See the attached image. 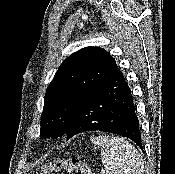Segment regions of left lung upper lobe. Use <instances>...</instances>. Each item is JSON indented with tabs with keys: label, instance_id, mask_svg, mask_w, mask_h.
Segmentation results:
<instances>
[{
	"label": "left lung upper lobe",
	"instance_id": "obj_1",
	"mask_svg": "<svg viewBox=\"0 0 175 174\" xmlns=\"http://www.w3.org/2000/svg\"><path fill=\"white\" fill-rule=\"evenodd\" d=\"M116 68L114 58L99 47L83 48L65 59L46 90L40 136H63L82 97Z\"/></svg>",
	"mask_w": 175,
	"mask_h": 174
}]
</instances>
